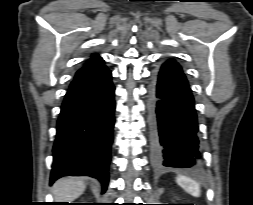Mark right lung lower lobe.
Returning a JSON list of instances; mask_svg holds the SVG:
<instances>
[{
	"label": "right lung lower lobe",
	"instance_id": "right-lung-lower-lobe-1",
	"mask_svg": "<svg viewBox=\"0 0 253 205\" xmlns=\"http://www.w3.org/2000/svg\"><path fill=\"white\" fill-rule=\"evenodd\" d=\"M111 77L102 59L75 74L57 122L51 183L67 175L91 176L106 191L115 110Z\"/></svg>",
	"mask_w": 253,
	"mask_h": 205
}]
</instances>
